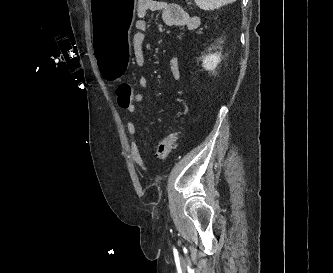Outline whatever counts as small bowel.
Returning <instances> with one entry per match:
<instances>
[{"instance_id": "small-bowel-1", "label": "small bowel", "mask_w": 333, "mask_h": 273, "mask_svg": "<svg viewBox=\"0 0 333 273\" xmlns=\"http://www.w3.org/2000/svg\"><path fill=\"white\" fill-rule=\"evenodd\" d=\"M152 12H161L163 23L170 27H185L190 31H194L199 26L198 18L191 16L180 4L167 2L165 0H138L137 15L139 19L135 23L132 48L135 63L140 68L145 65V36L150 29L146 16ZM169 68L174 80L177 82L181 81L182 70L180 58L172 57L169 61ZM139 86L141 89L148 88L149 79L145 76L141 77L139 79ZM132 100L134 108L123 109L130 114H133L136 111V104L143 101V95L141 93H133ZM119 106L121 108V105ZM126 128L130 137V153L132 160L139 169L145 170L147 165L136 141V124L134 121L128 120L126 122Z\"/></svg>"}]
</instances>
